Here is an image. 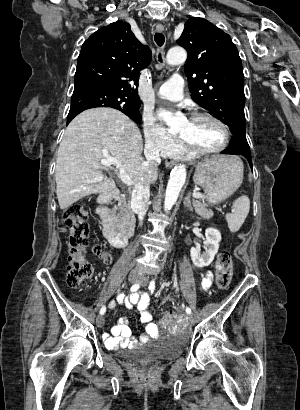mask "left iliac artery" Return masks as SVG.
<instances>
[{
  "instance_id": "left-iliac-artery-1",
  "label": "left iliac artery",
  "mask_w": 300,
  "mask_h": 410,
  "mask_svg": "<svg viewBox=\"0 0 300 410\" xmlns=\"http://www.w3.org/2000/svg\"><path fill=\"white\" fill-rule=\"evenodd\" d=\"M149 290L153 293L155 290V279L151 280L149 283ZM186 313L191 314V309L189 307H186Z\"/></svg>"
}]
</instances>
